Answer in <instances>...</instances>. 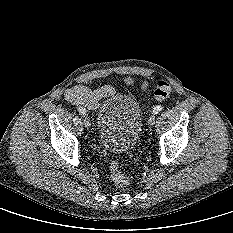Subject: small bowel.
I'll return each mask as SVG.
<instances>
[{"instance_id":"1","label":"small bowel","mask_w":233,"mask_h":233,"mask_svg":"<svg viewBox=\"0 0 233 233\" xmlns=\"http://www.w3.org/2000/svg\"><path fill=\"white\" fill-rule=\"evenodd\" d=\"M147 87L148 84L144 82L142 88L147 89ZM112 93L113 88L109 85L102 86L98 89H90L86 86L78 85L68 89L65 97L76 106L92 110L98 106L100 100L110 96Z\"/></svg>"}]
</instances>
